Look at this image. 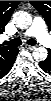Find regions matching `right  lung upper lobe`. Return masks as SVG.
<instances>
[{
	"label": "right lung upper lobe",
	"mask_w": 51,
	"mask_h": 101,
	"mask_svg": "<svg viewBox=\"0 0 51 101\" xmlns=\"http://www.w3.org/2000/svg\"><path fill=\"white\" fill-rule=\"evenodd\" d=\"M20 1H0V33L10 20L13 11ZM18 49L15 47L3 46L0 53V70L7 67L16 58Z\"/></svg>",
	"instance_id": "obj_1"
}]
</instances>
